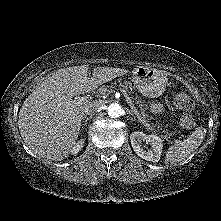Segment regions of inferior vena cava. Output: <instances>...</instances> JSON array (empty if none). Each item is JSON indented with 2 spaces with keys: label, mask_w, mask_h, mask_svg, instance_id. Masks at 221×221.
Here are the masks:
<instances>
[{
  "label": "inferior vena cava",
  "mask_w": 221,
  "mask_h": 221,
  "mask_svg": "<svg viewBox=\"0 0 221 221\" xmlns=\"http://www.w3.org/2000/svg\"><path fill=\"white\" fill-rule=\"evenodd\" d=\"M100 107H101V103L99 101H94V102L89 103L85 107L84 112L86 115H91L94 112H96Z\"/></svg>",
  "instance_id": "602c4592"
}]
</instances>
